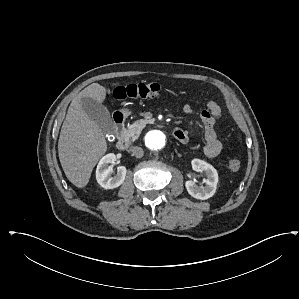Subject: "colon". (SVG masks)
I'll return each instance as SVG.
<instances>
[{
    "label": "colon",
    "mask_w": 299,
    "mask_h": 299,
    "mask_svg": "<svg viewBox=\"0 0 299 299\" xmlns=\"http://www.w3.org/2000/svg\"><path fill=\"white\" fill-rule=\"evenodd\" d=\"M161 87L158 83L140 82L119 86L113 90L114 98L118 100L153 98L159 95ZM231 170L236 171L241 167V161L238 158H232L228 162Z\"/></svg>",
    "instance_id": "obj_1"
}]
</instances>
